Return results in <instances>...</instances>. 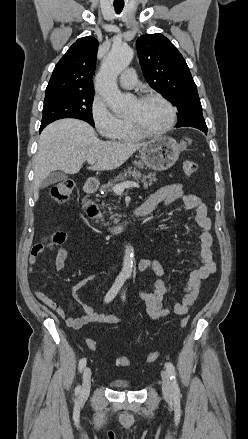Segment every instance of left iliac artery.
<instances>
[{
	"instance_id": "44dca946",
	"label": "left iliac artery",
	"mask_w": 248,
	"mask_h": 439,
	"mask_svg": "<svg viewBox=\"0 0 248 439\" xmlns=\"http://www.w3.org/2000/svg\"><path fill=\"white\" fill-rule=\"evenodd\" d=\"M122 297H123V299H125V295H123ZM165 366H166V370H167V372H168V374L170 376V380H171V383H172L173 395L174 396H179L180 390H179V386H178L177 379H176L175 367H174V365L171 362H167L165 364Z\"/></svg>"
}]
</instances>
